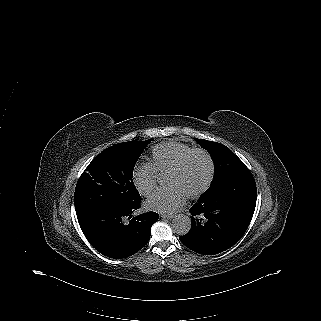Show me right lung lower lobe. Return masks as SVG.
Here are the masks:
<instances>
[{"instance_id": "98d812e1", "label": "right lung lower lobe", "mask_w": 321, "mask_h": 321, "mask_svg": "<svg viewBox=\"0 0 321 321\" xmlns=\"http://www.w3.org/2000/svg\"><path fill=\"white\" fill-rule=\"evenodd\" d=\"M140 201L129 207H109L77 214L79 225L89 243L110 258H126L139 251L149 241L151 226L158 213L147 212L133 217Z\"/></svg>"}]
</instances>
